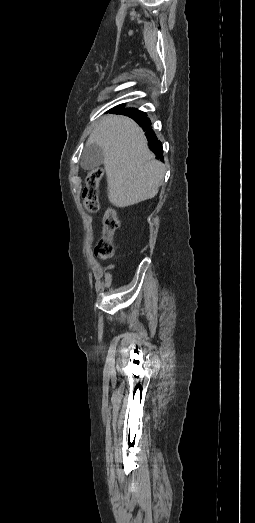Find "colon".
I'll return each instance as SVG.
<instances>
[{
    "instance_id": "5ec220e1",
    "label": "colon",
    "mask_w": 255,
    "mask_h": 523,
    "mask_svg": "<svg viewBox=\"0 0 255 523\" xmlns=\"http://www.w3.org/2000/svg\"><path fill=\"white\" fill-rule=\"evenodd\" d=\"M103 170L95 168L88 172L86 186L83 190V204L90 213L99 210V182L102 178ZM102 235L95 247V255L102 261L110 260L114 257L115 246L113 236L120 227V221L114 208L109 207L105 210L102 218Z\"/></svg>"
}]
</instances>
